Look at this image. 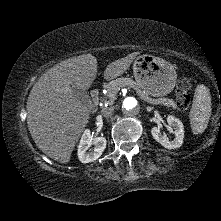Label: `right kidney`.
Masks as SVG:
<instances>
[{
	"label": "right kidney",
	"mask_w": 221,
	"mask_h": 221,
	"mask_svg": "<svg viewBox=\"0 0 221 221\" xmlns=\"http://www.w3.org/2000/svg\"><path fill=\"white\" fill-rule=\"evenodd\" d=\"M91 145H94V149H89ZM105 148L106 139L104 137L92 138L90 130L86 129L78 146V158L82 163L93 162L102 155Z\"/></svg>",
	"instance_id": "ca27d5eb"
}]
</instances>
